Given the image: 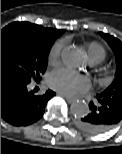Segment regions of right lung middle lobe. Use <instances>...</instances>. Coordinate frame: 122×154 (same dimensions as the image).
Wrapping results in <instances>:
<instances>
[{
  "mask_svg": "<svg viewBox=\"0 0 122 154\" xmlns=\"http://www.w3.org/2000/svg\"><path fill=\"white\" fill-rule=\"evenodd\" d=\"M59 36H44L28 22H13L3 28L1 78L11 77L24 83L41 79L50 48Z\"/></svg>",
  "mask_w": 122,
  "mask_h": 154,
  "instance_id": "right-lung-middle-lobe-1",
  "label": "right lung middle lobe"
}]
</instances>
